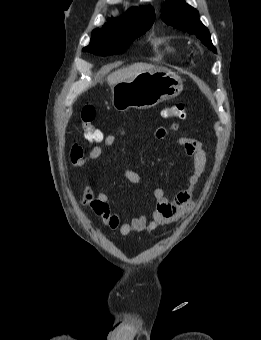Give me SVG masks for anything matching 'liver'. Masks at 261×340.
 Returning <instances> with one entry per match:
<instances>
[{"label": "liver", "instance_id": "liver-1", "mask_svg": "<svg viewBox=\"0 0 261 340\" xmlns=\"http://www.w3.org/2000/svg\"><path fill=\"white\" fill-rule=\"evenodd\" d=\"M160 70L154 65L148 63H134L130 66L119 69L107 77L108 84L113 87L115 84L129 80L146 71Z\"/></svg>", "mask_w": 261, "mask_h": 340}]
</instances>
